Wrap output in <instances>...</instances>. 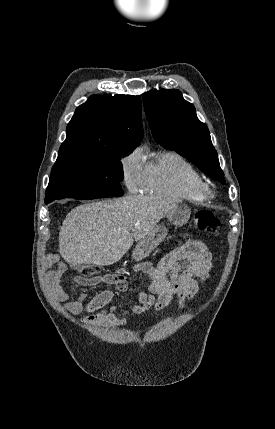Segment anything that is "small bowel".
Instances as JSON below:
<instances>
[{
	"mask_svg": "<svg viewBox=\"0 0 275 429\" xmlns=\"http://www.w3.org/2000/svg\"><path fill=\"white\" fill-rule=\"evenodd\" d=\"M211 266V252L201 241H191L172 250L156 266L149 262L137 263L134 270L146 275L149 286L147 291L139 294L138 302L129 306L130 312L142 314L149 310L160 311L168 306L174 297L177 298L179 306L184 307L199 291L197 279L201 282L206 281ZM64 270L65 266L59 263L51 278L50 291L67 312L77 315L86 311L88 315L82 321L91 326L117 327L126 324V318L116 316L118 306L116 304L109 306L114 297L110 290L98 293L89 301L86 294L80 292L77 300L69 301L60 280ZM73 282L78 287L102 282L114 285L119 291L126 290L128 286L126 276L119 273L105 274L95 279L77 276Z\"/></svg>",
	"mask_w": 275,
	"mask_h": 429,
	"instance_id": "c3829d8e",
	"label": "small bowel"
}]
</instances>
